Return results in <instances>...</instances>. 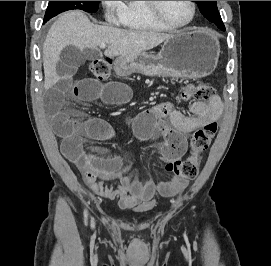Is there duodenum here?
<instances>
[{
  "mask_svg": "<svg viewBox=\"0 0 271 266\" xmlns=\"http://www.w3.org/2000/svg\"><path fill=\"white\" fill-rule=\"evenodd\" d=\"M116 68H117L118 73H121L123 71V69H122V63L121 62L117 63Z\"/></svg>",
  "mask_w": 271,
  "mask_h": 266,
  "instance_id": "obj_1",
  "label": "duodenum"
}]
</instances>
